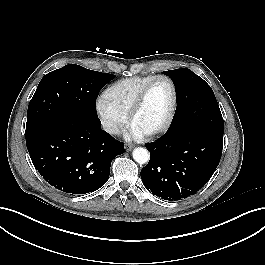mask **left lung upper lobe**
I'll return each mask as SVG.
<instances>
[{
	"mask_svg": "<svg viewBox=\"0 0 265 265\" xmlns=\"http://www.w3.org/2000/svg\"><path fill=\"white\" fill-rule=\"evenodd\" d=\"M174 81L178 104L169 130L202 126L223 133V118L211 87L187 68L163 72Z\"/></svg>",
	"mask_w": 265,
	"mask_h": 265,
	"instance_id": "left-lung-upper-lobe-1",
	"label": "left lung upper lobe"
}]
</instances>
